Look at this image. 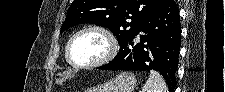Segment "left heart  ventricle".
Returning <instances> with one entry per match:
<instances>
[{
	"mask_svg": "<svg viewBox=\"0 0 225 92\" xmlns=\"http://www.w3.org/2000/svg\"><path fill=\"white\" fill-rule=\"evenodd\" d=\"M108 44L97 32H86L78 36L72 43L70 55L78 64L95 62L106 55Z\"/></svg>",
	"mask_w": 225,
	"mask_h": 92,
	"instance_id": "obj_1",
	"label": "left heart ventricle"
}]
</instances>
